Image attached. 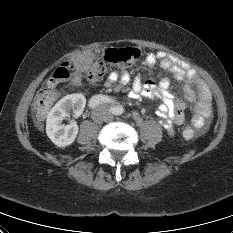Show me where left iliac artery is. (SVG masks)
<instances>
[{
	"mask_svg": "<svg viewBox=\"0 0 233 233\" xmlns=\"http://www.w3.org/2000/svg\"><path fill=\"white\" fill-rule=\"evenodd\" d=\"M110 111L114 114V115H121L124 112V109L122 106L117 105V106H113L110 108Z\"/></svg>",
	"mask_w": 233,
	"mask_h": 233,
	"instance_id": "obj_1",
	"label": "left iliac artery"
}]
</instances>
